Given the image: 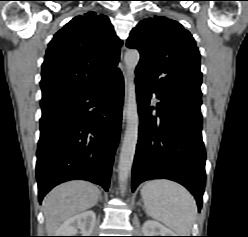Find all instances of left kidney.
I'll use <instances>...</instances> for the list:
<instances>
[{"instance_id": "obj_1", "label": "left kidney", "mask_w": 248, "mask_h": 237, "mask_svg": "<svg viewBox=\"0 0 248 237\" xmlns=\"http://www.w3.org/2000/svg\"><path fill=\"white\" fill-rule=\"evenodd\" d=\"M144 236H176L172 230L157 221L148 220L142 226Z\"/></svg>"}]
</instances>
